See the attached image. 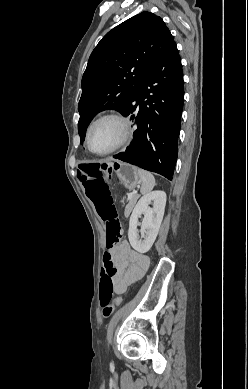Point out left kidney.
Masks as SVG:
<instances>
[{
  "label": "left kidney",
  "mask_w": 248,
  "mask_h": 389,
  "mask_svg": "<svg viewBox=\"0 0 248 389\" xmlns=\"http://www.w3.org/2000/svg\"><path fill=\"white\" fill-rule=\"evenodd\" d=\"M153 206L150 207L149 205ZM166 193L153 191L141 197L136 204L129 221L128 238L131 246L140 253H146L152 247L164 216ZM144 215L141 224V238L138 235V219ZM143 239V240H142Z\"/></svg>",
  "instance_id": "1"
}]
</instances>
